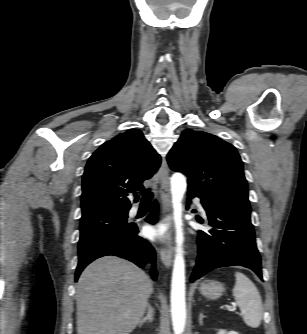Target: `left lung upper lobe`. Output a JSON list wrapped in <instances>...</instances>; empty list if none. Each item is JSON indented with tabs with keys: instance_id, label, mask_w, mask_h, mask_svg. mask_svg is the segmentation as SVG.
Segmentation results:
<instances>
[{
	"instance_id": "left-lung-upper-lobe-1",
	"label": "left lung upper lobe",
	"mask_w": 307,
	"mask_h": 334,
	"mask_svg": "<svg viewBox=\"0 0 307 334\" xmlns=\"http://www.w3.org/2000/svg\"><path fill=\"white\" fill-rule=\"evenodd\" d=\"M170 168L188 177V192L200 199L251 211L243 162L230 143L185 130L167 156Z\"/></svg>"
}]
</instances>
